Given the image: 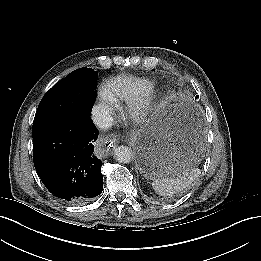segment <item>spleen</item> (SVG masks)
<instances>
[{"mask_svg": "<svg viewBox=\"0 0 261 261\" xmlns=\"http://www.w3.org/2000/svg\"><path fill=\"white\" fill-rule=\"evenodd\" d=\"M171 170H168L169 172ZM200 175L198 168L185 169L182 173H177L176 177H158L152 182V187L156 193L161 196H171L175 193L181 192L191 186Z\"/></svg>", "mask_w": 261, "mask_h": 261, "instance_id": "3e777b00", "label": "spleen"}]
</instances>
